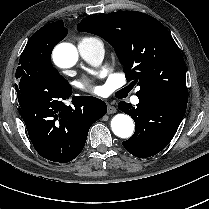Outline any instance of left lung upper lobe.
I'll return each mask as SVG.
<instances>
[{
  "instance_id": "left-lung-upper-lobe-1",
  "label": "left lung upper lobe",
  "mask_w": 209,
  "mask_h": 209,
  "mask_svg": "<svg viewBox=\"0 0 209 209\" xmlns=\"http://www.w3.org/2000/svg\"><path fill=\"white\" fill-rule=\"evenodd\" d=\"M77 28L101 36L114 47L127 81L140 86L138 97L155 96L187 104L183 56L157 19L141 12L121 11L86 17Z\"/></svg>"
}]
</instances>
